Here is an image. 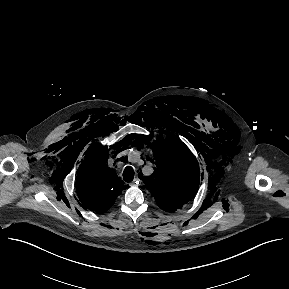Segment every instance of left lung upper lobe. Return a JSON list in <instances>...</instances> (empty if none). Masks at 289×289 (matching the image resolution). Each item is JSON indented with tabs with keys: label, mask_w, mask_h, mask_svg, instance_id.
<instances>
[{
	"label": "left lung upper lobe",
	"mask_w": 289,
	"mask_h": 289,
	"mask_svg": "<svg viewBox=\"0 0 289 289\" xmlns=\"http://www.w3.org/2000/svg\"><path fill=\"white\" fill-rule=\"evenodd\" d=\"M156 168L151 177L143 178L157 205L164 211L174 212L193 199L200 182L197 160L176 136L151 145Z\"/></svg>",
	"instance_id": "5c2ea615"
}]
</instances>
